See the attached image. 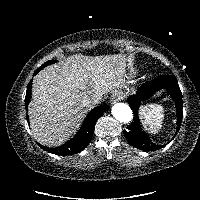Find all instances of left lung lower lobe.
Instances as JSON below:
<instances>
[{
	"label": "left lung lower lobe",
	"mask_w": 200,
	"mask_h": 200,
	"mask_svg": "<svg viewBox=\"0 0 200 200\" xmlns=\"http://www.w3.org/2000/svg\"><path fill=\"white\" fill-rule=\"evenodd\" d=\"M160 89H166L173 98L177 112V131L181 126L182 93L176 78L172 75H165L142 84L137 94L130 96L127 100L136 117L127 130H124V136L132 146L143 151H155L164 147V145L154 144L149 138L148 134L142 131L138 118V108L141 104V101L149 99L156 91Z\"/></svg>",
	"instance_id": "0a47b994"
}]
</instances>
